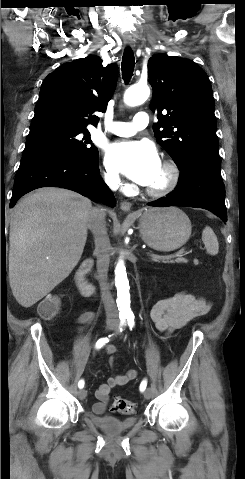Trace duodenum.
<instances>
[{
  "instance_id": "obj_1",
  "label": "duodenum",
  "mask_w": 245,
  "mask_h": 479,
  "mask_svg": "<svg viewBox=\"0 0 245 479\" xmlns=\"http://www.w3.org/2000/svg\"><path fill=\"white\" fill-rule=\"evenodd\" d=\"M92 266V262L90 260H86L82 263L75 275V283L78 289L85 295L90 296L94 294L95 287L88 282L86 279V274Z\"/></svg>"
}]
</instances>
